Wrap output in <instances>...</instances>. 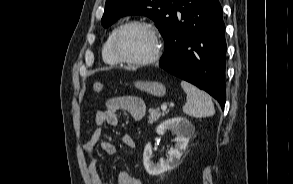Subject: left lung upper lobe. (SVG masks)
<instances>
[{
  "label": "left lung upper lobe",
  "mask_w": 293,
  "mask_h": 184,
  "mask_svg": "<svg viewBox=\"0 0 293 184\" xmlns=\"http://www.w3.org/2000/svg\"><path fill=\"white\" fill-rule=\"evenodd\" d=\"M178 0H106L101 23L105 28L126 15H145L156 22L163 38L169 29Z\"/></svg>",
  "instance_id": "5c2ea615"
}]
</instances>
